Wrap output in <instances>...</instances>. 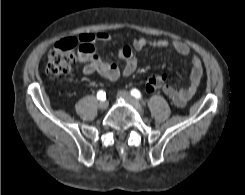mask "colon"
Returning a JSON list of instances; mask_svg holds the SVG:
<instances>
[{
	"label": "colon",
	"instance_id": "1",
	"mask_svg": "<svg viewBox=\"0 0 245 195\" xmlns=\"http://www.w3.org/2000/svg\"><path fill=\"white\" fill-rule=\"evenodd\" d=\"M76 40L67 38L56 43L49 54L47 64V74L53 78H62L67 75L76 62ZM166 75L152 73L145 82V88L148 92H156L164 87Z\"/></svg>",
	"mask_w": 245,
	"mask_h": 195
}]
</instances>
